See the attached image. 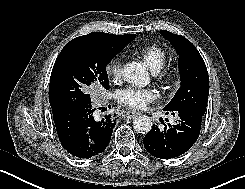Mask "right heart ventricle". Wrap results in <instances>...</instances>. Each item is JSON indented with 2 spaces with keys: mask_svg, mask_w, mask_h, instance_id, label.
Listing matches in <instances>:
<instances>
[{
  "mask_svg": "<svg viewBox=\"0 0 245 189\" xmlns=\"http://www.w3.org/2000/svg\"><path fill=\"white\" fill-rule=\"evenodd\" d=\"M136 53L153 72H158L162 69L167 61L166 52L157 45L141 46L136 50Z\"/></svg>",
  "mask_w": 245,
  "mask_h": 189,
  "instance_id": "1",
  "label": "right heart ventricle"
}]
</instances>
